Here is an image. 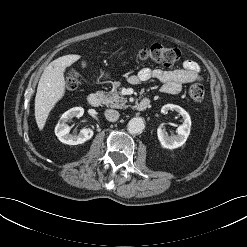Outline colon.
<instances>
[{
	"label": "colon",
	"mask_w": 247,
	"mask_h": 247,
	"mask_svg": "<svg viewBox=\"0 0 247 247\" xmlns=\"http://www.w3.org/2000/svg\"><path fill=\"white\" fill-rule=\"evenodd\" d=\"M136 58L142 61H152L165 67L174 65L179 57L180 52L175 47H169L162 44H153L148 47L139 49L136 52ZM79 75L70 74L66 79V87L74 90L78 86ZM189 97L195 102H201L205 96V90L202 84L194 83L188 88Z\"/></svg>",
	"instance_id": "5ec220e1"
}]
</instances>
